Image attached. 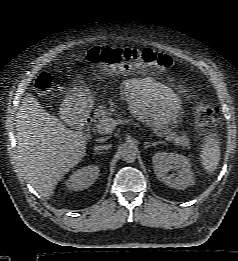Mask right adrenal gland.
<instances>
[{
  "mask_svg": "<svg viewBox=\"0 0 238 261\" xmlns=\"http://www.w3.org/2000/svg\"><path fill=\"white\" fill-rule=\"evenodd\" d=\"M94 154H103V152H95Z\"/></svg>",
  "mask_w": 238,
  "mask_h": 261,
  "instance_id": "2a0ac1e0",
  "label": "right adrenal gland"
}]
</instances>
